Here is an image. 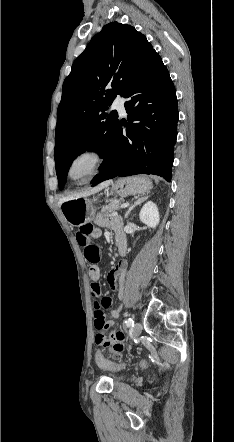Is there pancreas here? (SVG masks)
<instances>
[{"instance_id":"obj_1","label":"pancreas","mask_w":234,"mask_h":442,"mask_svg":"<svg viewBox=\"0 0 234 442\" xmlns=\"http://www.w3.org/2000/svg\"><path fill=\"white\" fill-rule=\"evenodd\" d=\"M120 205H121V201L120 200H113L108 205H105V206L102 207L101 213L102 214L110 215L113 212H115V210H118Z\"/></svg>"}]
</instances>
